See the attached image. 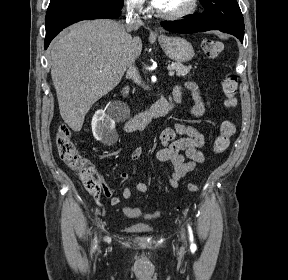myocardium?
Masks as SVG:
<instances>
[{"label": "myocardium", "mask_w": 288, "mask_h": 280, "mask_svg": "<svg viewBox=\"0 0 288 280\" xmlns=\"http://www.w3.org/2000/svg\"><path fill=\"white\" fill-rule=\"evenodd\" d=\"M199 5V0H190V3L188 7H186L184 10L176 12V13H165L161 11L160 9L157 10V14L164 19L167 20H180L183 18H186L193 14L197 7Z\"/></svg>", "instance_id": "obj_1"}]
</instances>
